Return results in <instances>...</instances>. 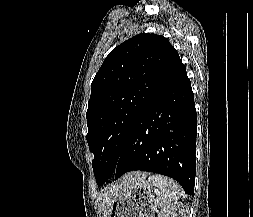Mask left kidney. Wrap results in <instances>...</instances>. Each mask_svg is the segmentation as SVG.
I'll return each mask as SVG.
<instances>
[{
  "label": "left kidney",
  "instance_id": "obj_1",
  "mask_svg": "<svg viewBox=\"0 0 253 217\" xmlns=\"http://www.w3.org/2000/svg\"><path fill=\"white\" fill-rule=\"evenodd\" d=\"M158 217H189V209L183 203L175 202L163 209Z\"/></svg>",
  "mask_w": 253,
  "mask_h": 217
}]
</instances>
